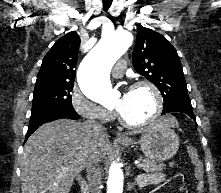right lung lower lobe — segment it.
I'll list each match as a JSON object with an SVG mask.
<instances>
[{
	"label": "right lung lower lobe",
	"mask_w": 221,
	"mask_h": 193,
	"mask_svg": "<svg viewBox=\"0 0 221 193\" xmlns=\"http://www.w3.org/2000/svg\"><path fill=\"white\" fill-rule=\"evenodd\" d=\"M60 118H68L75 120L80 118V115L77 114V112L74 109H64V108H49L38 111L36 113H32L25 141L42 124Z\"/></svg>",
	"instance_id": "1"
}]
</instances>
